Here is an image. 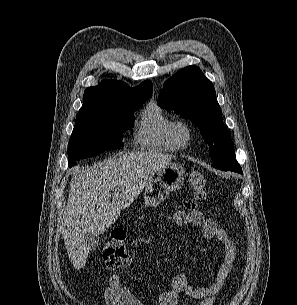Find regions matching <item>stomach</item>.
<instances>
[{"label":"stomach","mask_w":297,"mask_h":305,"mask_svg":"<svg viewBox=\"0 0 297 305\" xmlns=\"http://www.w3.org/2000/svg\"><path fill=\"white\" fill-rule=\"evenodd\" d=\"M185 179V169L176 162H170L157 171V177L145 186L146 206L155 207L163 202L171 191L179 189Z\"/></svg>","instance_id":"obj_1"}]
</instances>
